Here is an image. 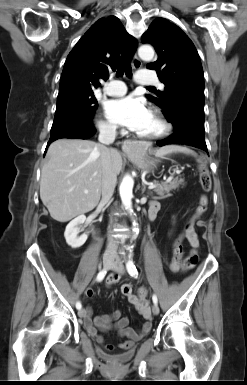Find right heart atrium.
<instances>
[{"instance_id":"d8ad5b80","label":"right heart atrium","mask_w":247,"mask_h":385,"mask_svg":"<svg viewBox=\"0 0 247 385\" xmlns=\"http://www.w3.org/2000/svg\"><path fill=\"white\" fill-rule=\"evenodd\" d=\"M98 128L102 133L105 134H114L117 131L115 124L102 118L98 121Z\"/></svg>"}]
</instances>
